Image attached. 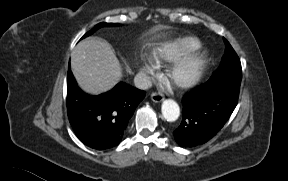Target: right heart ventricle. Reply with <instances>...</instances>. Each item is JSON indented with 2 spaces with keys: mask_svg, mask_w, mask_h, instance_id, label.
Returning a JSON list of instances; mask_svg holds the SVG:
<instances>
[{
  "mask_svg": "<svg viewBox=\"0 0 288 181\" xmlns=\"http://www.w3.org/2000/svg\"><path fill=\"white\" fill-rule=\"evenodd\" d=\"M201 47V41L195 36H180L156 46L152 57L157 61L177 62L194 53Z\"/></svg>",
  "mask_w": 288,
  "mask_h": 181,
  "instance_id": "e07e8e85",
  "label": "right heart ventricle"
}]
</instances>
